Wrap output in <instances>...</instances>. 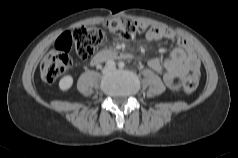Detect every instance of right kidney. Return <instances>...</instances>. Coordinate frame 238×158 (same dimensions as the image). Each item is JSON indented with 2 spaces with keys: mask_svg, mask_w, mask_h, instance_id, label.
<instances>
[{
  "mask_svg": "<svg viewBox=\"0 0 238 158\" xmlns=\"http://www.w3.org/2000/svg\"><path fill=\"white\" fill-rule=\"evenodd\" d=\"M72 85H73V77L71 75H66L59 81V88L62 91L69 90L72 87Z\"/></svg>",
  "mask_w": 238,
  "mask_h": 158,
  "instance_id": "1",
  "label": "right kidney"
}]
</instances>
